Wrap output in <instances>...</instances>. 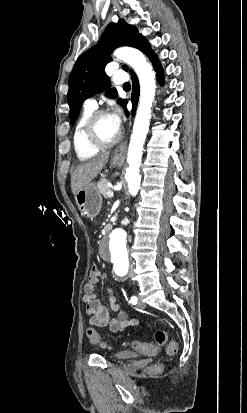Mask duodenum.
<instances>
[{
	"mask_svg": "<svg viewBox=\"0 0 247 413\" xmlns=\"http://www.w3.org/2000/svg\"><path fill=\"white\" fill-rule=\"evenodd\" d=\"M111 229H112V223L109 222V223H107L106 226H105V232H109Z\"/></svg>",
	"mask_w": 247,
	"mask_h": 413,
	"instance_id": "obj_1",
	"label": "duodenum"
}]
</instances>
